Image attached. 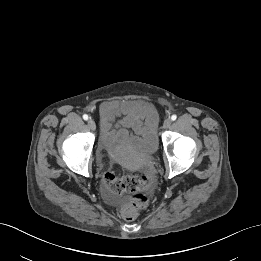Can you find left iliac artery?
<instances>
[{
    "label": "left iliac artery",
    "instance_id": "left-iliac-artery-1",
    "mask_svg": "<svg viewBox=\"0 0 261 261\" xmlns=\"http://www.w3.org/2000/svg\"><path fill=\"white\" fill-rule=\"evenodd\" d=\"M176 119H177V116L175 114L171 116L172 121H175Z\"/></svg>",
    "mask_w": 261,
    "mask_h": 261
}]
</instances>
